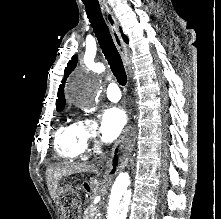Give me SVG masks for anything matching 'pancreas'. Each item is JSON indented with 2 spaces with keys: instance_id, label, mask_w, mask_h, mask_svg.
<instances>
[{
  "instance_id": "obj_1",
  "label": "pancreas",
  "mask_w": 221,
  "mask_h": 219,
  "mask_svg": "<svg viewBox=\"0 0 221 219\" xmlns=\"http://www.w3.org/2000/svg\"><path fill=\"white\" fill-rule=\"evenodd\" d=\"M97 213V210L93 206H89L85 211L83 215V219H95V214Z\"/></svg>"
}]
</instances>
